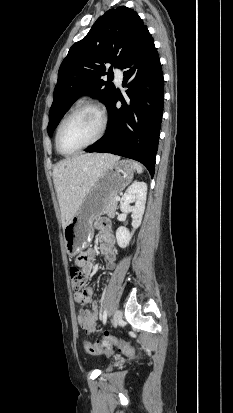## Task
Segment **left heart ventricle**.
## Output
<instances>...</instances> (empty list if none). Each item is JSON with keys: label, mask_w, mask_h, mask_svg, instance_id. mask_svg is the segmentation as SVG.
Listing matches in <instances>:
<instances>
[{"label": "left heart ventricle", "mask_w": 233, "mask_h": 413, "mask_svg": "<svg viewBox=\"0 0 233 413\" xmlns=\"http://www.w3.org/2000/svg\"><path fill=\"white\" fill-rule=\"evenodd\" d=\"M100 116L93 109H83L65 125L61 134L62 149L73 151L95 138L100 129Z\"/></svg>", "instance_id": "obj_1"}]
</instances>
